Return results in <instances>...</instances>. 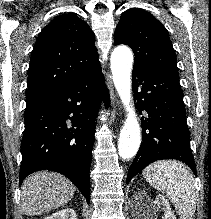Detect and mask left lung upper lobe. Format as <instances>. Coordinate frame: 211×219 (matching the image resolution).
<instances>
[{
  "label": "left lung upper lobe",
  "instance_id": "left-lung-upper-lobe-1",
  "mask_svg": "<svg viewBox=\"0 0 211 219\" xmlns=\"http://www.w3.org/2000/svg\"><path fill=\"white\" fill-rule=\"evenodd\" d=\"M114 44L133 49L134 66L178 72L167 30L147 11L131 8L124 12L116 26Z\"/></svg>",
  "mask_w": 211,
  "mask_h": 219
}]
</instances>
